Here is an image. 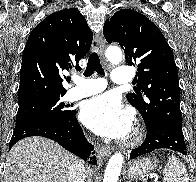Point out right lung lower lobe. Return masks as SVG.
Instances as JSON below:
<instances>
[{
  "label": "right lung lower lobe",
  "mask_w": 196,
  "mask_h": 182,
  "mask_svg": "<svg viewBox=\"0 0 196 182\" xmlns=\"http://www.w3.org/2000/svg\"><path fill=\"white\" fill-rule=\"evenodd\" d=\"M75 114L68 119L40 117L16 124L9 149L25 137L42 136L58 142L83 160L96 164V156H91L95 153L93 146L87 142Z\"/></svg>",
  "instance_id": "1"
}]
</instances>
